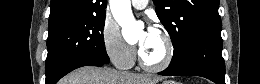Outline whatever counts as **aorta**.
Instances as JSON below:
<instances>
[{
	"label": "aorta",
	"mask_w": 260,
	"mask_h": 84,
	"mask_svg": "<svg viewBox=\"0 0 260 84\" xmlns=\"http://www.w3.org/2000/svg\"><path fill=\"white\" fill-rule=\"evenodd\" d=\"M110 9L114 19L122 28L124 39L126 41L137 40L141 25L133 16L130 0H110Z\"/></svg>",
	"instance_id": "obj_1"
}]
</instances>
